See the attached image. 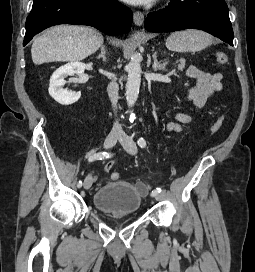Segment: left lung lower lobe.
<instances>
[{
	"label": "left lung lower lobe",
	"mask_w": 255,
	"mask_h": 272,
	"mask_svg": "<svg viewBox=\"0 0 255 272\" xmlns=\"http://www.w3.org/2000/svg\"><path fill=\"white\" fill-rule=\"evenodd\" d=\"M144 26L150 32L200 29L233 46L234 34L225 0H171L168 7L149 13Z\"/></svg>",
	"instance_id": "obj_1"
}]
</instances>
